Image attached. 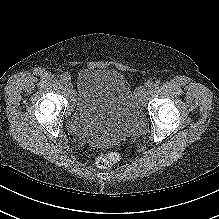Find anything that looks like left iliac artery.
<instances>
[{
	"label": "left iliac artery",
	"mask_w": 219,
	"mask_h": 219,
	"mask_svg": "<svg viewBox=\"0 0 219 219\" xmlns=\"http://www.w3.org/2000/svg\"><path fill=\"white\" fill-rule=\"evenodd\" d=\"M146 86H147V87H150L151 85H150L149 83H146ZM151 88H152L153 90H157V89L159 88V84H158V83H154V84L151 86Z\"/></svg>",
	"instance_id": "44dca946"
}]
</instances>
